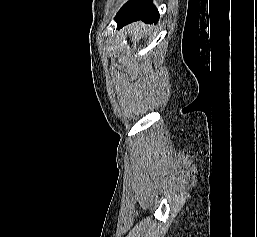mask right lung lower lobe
<instances>
[{"mask_svg":"<svg viewBox=\"0 0 257 237\" xmlns=\"http://www.w3.org/2000/svg\"><path fill=\"white\" fill-rule=\"evenodd\" d=\"M137 20L149 24L158 22L159 13L152 0H129L115 17L118 29Z\"/></svg>","mask_w":257,"mask_h":237,"instance_id":"1","label":"right lung lower lobe"}]
</instances>
